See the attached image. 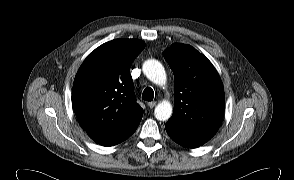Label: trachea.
Listing matches in <instances>:
<instances>
[{
    "label": "trachea",
    "mask_w": 294,
    "mask_h": 180,
    "mask_svg": "<svg viewBox=\"0 0 294 180\" xmlns=\"http://www.w3.org/2000/svg\"><path fill=\"white\" fill-rule=\"evenodd\" d=\"M153 98H154L153 89L150 87L145 88V90L143 91V94H142V99L145 101H152Z\"/></svg>",
    "instance_id": "obj_1"
}]
</instances>
